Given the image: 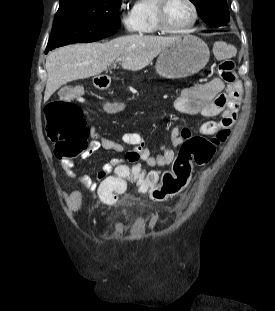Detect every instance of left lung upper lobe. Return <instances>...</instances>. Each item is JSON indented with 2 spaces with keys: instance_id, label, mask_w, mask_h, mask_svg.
Masks as SVG:
<instances>
[{
  "instance_id": "5c2ea615",
  "label": "left lung upper lobe",
  "mask_w": 275,
  "mask_h": 311,
  "mask_svg": "<svg viewBox=\"0 0 275 311\" xmlns=\"http://www.w3.org/2000/svg\"><path fill=\"white\" fill-rule=\"evenodd\" d=\"M198 9L201 19L211 27L224 26L229 22L226 0H190Z\"/></svg>"
}]
</instances>
